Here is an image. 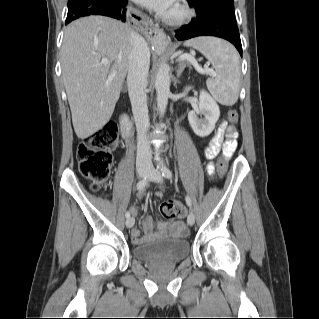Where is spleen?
<instances>
[{"label": "spleen", "instance_id": "obj_1", "mask_svg": "<svg viewBox=\"0 0 319 319\" xmlns=\"http://www.w3.org/2000/svg\"><path fill=\"white\" fill-rule=\"evenodd\" d=\"M201 52L215 69V75L206 85L213 98L225 106L234 105L239 96L240 64L235 48L215 37H198L184 43Z\"/></svg>", "mask_w": 319, "mask_h": 319}]
</instances>
